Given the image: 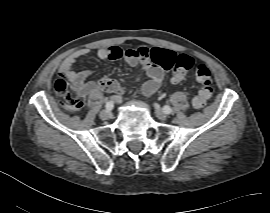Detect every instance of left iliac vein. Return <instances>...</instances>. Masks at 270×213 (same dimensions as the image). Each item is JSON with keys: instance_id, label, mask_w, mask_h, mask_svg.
<instances>
[{"instance_id": "left-iliac-vein-1", "label": "left iliac vein", "mask_w": 270, "mask_h": 213, "mask_svg": "<svg viewBox=\"0 0 270 213\" xmlns=\"http://www.w3.org/2000/svg\"><path fill=\"white\" fill-rule=\"evenodd\" d=\"M154 108H155V114L157 118L163 121L167 119L166 114L163 112V110L160 108L158 104H154Z\"/></svg>"}]
</instances>
